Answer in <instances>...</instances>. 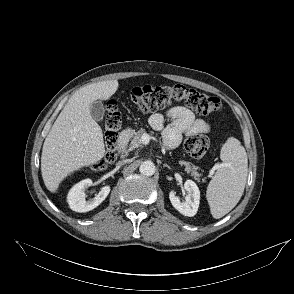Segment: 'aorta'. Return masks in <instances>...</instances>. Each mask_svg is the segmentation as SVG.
Masks as SVG:
<instances>
[{
    "label": "aorta",
    "mask_w": 294,
    "mask_h": 294,
    "mask_svg": "<svg viewBox=\"0 0 294 294\" xmlns=\"http://www.w3.org/2000/svg\"><path fill=\"white\" fill-rule=\"evenodd\" d=\"M139 171L144 176H152L155 173V165L151 161H144L141 163Z\"/></svg>",
    "instance_id": "762f6f07"
}]
</instances>
